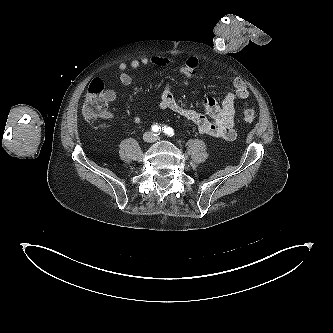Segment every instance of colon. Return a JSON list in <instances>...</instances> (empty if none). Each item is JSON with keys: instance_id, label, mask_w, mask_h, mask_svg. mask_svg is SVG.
Instances as JSON below:
<instances>
[{"instance_id": "colon-1", "label": "colon", "mask_w": 333, "mask_h": 333, "mask_svg": "<svg viewBox=\"0 0 333 333\" xmlns=\"http://www.w3.org/2000/svg\"><path fill=\"white\" fill-rule=\"evenodd\" d=\"M107 101L104 98V82L96 78L88 89L83 103V116L88 121L104 117L107 111ZM256 119V111L251 107H245L241 113V120L252 123Z\"/></svg>"}]
</instances>
